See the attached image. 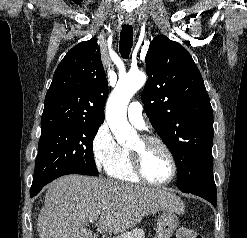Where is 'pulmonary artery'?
Returning a JSON list of instances; mask_svg holds the SVG:
<instances>
[{"label": "pulmonary artery", "instance_id": "obj_1", "mask_svg": "<svg viewBox=\"0 0 247 238\" xmlns=\"http://www.w3.org/2000/svg\"><path fill=\"white\" fill-rule=\"evenodd\" d=\"M127 116L129 121L136 127L140 129L144 127L143 108L139 102L134 101L130 103L127 110Z\"/></svg>", "mask_w": 247, "mask_h": 238}]
</instances>
